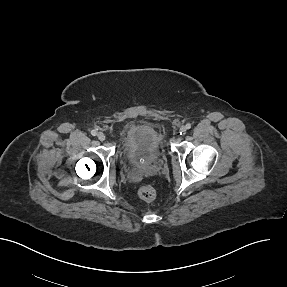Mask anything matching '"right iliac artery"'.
<instances>
[{
	"instance_id": "1",
	"label": "right iliac artery",
	"mask_w": 287,
	"mask_h": 287,
	"mask_svg": "<svg viewBox=\"0 0 287 287\" xmlns=\"http://www.w3.org/2000/svg\"><path fill=\"white\" fill-rule=\"evenodd\" d=\"M91 134H92L93 136H96V135H97V131H96V130H92V131H91Z\"/></svg>"
}]
</instances>
